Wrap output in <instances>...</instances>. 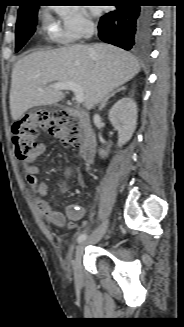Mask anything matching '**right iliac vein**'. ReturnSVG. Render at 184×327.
Masks as SVG:
<instances>
[{
    "label": "right iliac vein",
    "instance_id": "right-iliac-vein-1",
    "mask_svg": "<svg viewBox=\"0 0 184 327\" xmlns=\"http://www.w3.org/2000/svg\"><path fill=\"white\" fill-rule=\"evenodd\" d=\"M108 227V220L106 219L89 237L85 242H82L76 250L75 259L73 263L74 278L77 284H81L83 281L82 275V256L84 250L88 244L97 243L105 234Z\"/></svg>",
    "mask_w": 184,
    "mask_h": 327
}]
</instances>
